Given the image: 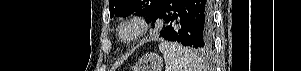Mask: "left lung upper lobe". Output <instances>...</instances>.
<instances>
[{
  "label": "left lung upper lobe",
  "mask_w": 301,
  "mask_h": 71,
  "mask_svg": "<svg viewBox=\"0 0 301 71\" xmlns=\"http://www.w3.org/2000/svg\"><path fill=\"white\" fill-rule=\"evenodd\" d=\"M162 0H110V17H126L133 12L146 15L149 19L156 14Z\"/></svg>",
  "instance_id": "obj_1"
}]
</instances>
